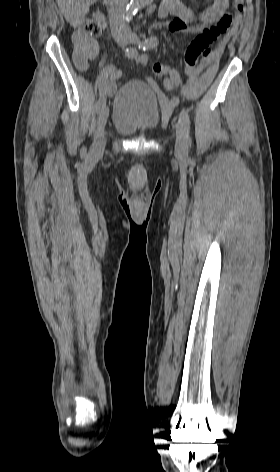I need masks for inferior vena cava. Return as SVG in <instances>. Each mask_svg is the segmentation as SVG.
<instances>
[{"label": "inferior vena cava", "instance_id": "obj_1", "mask_svg": "<svg viewBox=\"0 0 280 472\" xmlns=\"http://www.w3.org/2000/svg\"><path fill=\"white\" fill-rule=\"evenodd\" d=\"M128 0H112L109 10V22L113 34L123 31L124 22L123 15Z\"/></svg>", "mask_w": 280, "mask_h": 472}]
</instances>
